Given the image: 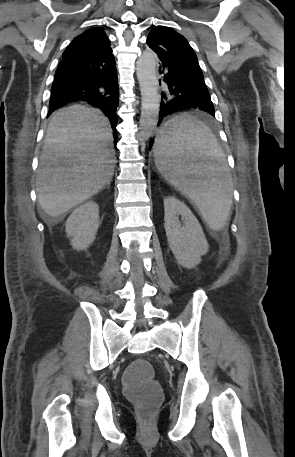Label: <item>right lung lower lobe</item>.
Segmentation results:
<instances>
[{
  "mask_svg": "<svg viewBox=\"0 0 295 457\" xmlns=\"http://www.w3.org/2000/svg\"><path fill=\"white\" fill-rule=\"evenodd\" d=\"M115 65L111 48L87 58L62 60L55 72L48 116L70 102H91L109 118L116 143L119 86Z\"/></svg>",
  "mask_w": 295,
  "mask_h": 457,
  "instance_id": "1",
  "label": "right lung lower lobe"
}]
</instances>
